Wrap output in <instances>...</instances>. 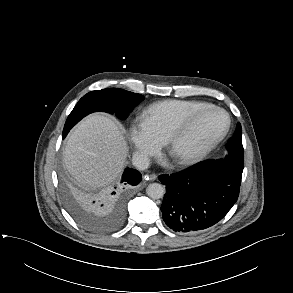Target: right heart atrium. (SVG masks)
Returning a JSON list of instances; mask_svg holds the SVG:
<instances>
[{
  "instance_id": "1",
  "label": "right heart atrium",
  "mask_w": 293,
  "mask_h": 293,
  "mask_svg": "<svg viewBox=\"0 0 293 293\" xmlns=\"http://www.w3.org/2000/svg\"><path fill=\"white\" fill-rule=\"evenodd\" d=\"M128 140L132 144L135 158L139 162H144L149 157L156 155L164 143V140L142 118H137L130 123Z\"/></svg>"
}]
</instances>
